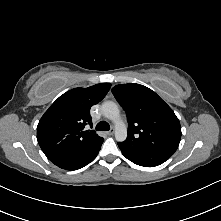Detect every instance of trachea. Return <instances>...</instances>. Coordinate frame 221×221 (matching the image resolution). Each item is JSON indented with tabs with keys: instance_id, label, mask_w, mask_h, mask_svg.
<instances>
[{
	"instance_id": "1",
	"label": "trachea",
	"mask_w": 221,
	"mask_h": 221,
	"mask_svg": "<svg viewBox=\"0 0 221 221\" xmlns=\"http://www.w3.org/2000/svg\"><path fill=\"white\" fill-rule=\"evenodd\" d=\"M96 130L97 131H108V130H110V125L106 121H100L96 125Z\"/></svg>"
}]
</instances>
